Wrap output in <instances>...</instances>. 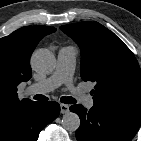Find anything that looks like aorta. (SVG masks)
<instances>
[{"label":"aorta","instance_id":"obj_1","mask_svg":"<svg viewBox=\"0 0 141 141\" xmlns=\"http://www.w3.org/2000/svg\"><path fill=\"white\" fill-rule=\"evenodd\" d=\"M31 66L38 73H50L55 67V57L48 49H38L31 56ZM62 126L67 131H76L80 126V118L76 113L63 115Z\"/></svg>","mask_w":141,"mask_h":141}]
</instances>
